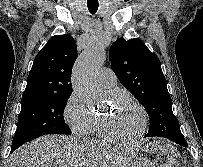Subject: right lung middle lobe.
Segmentation results:
<instances>
[{
	"instance_id": "dd1d6c3e",
	"label": "right lung middle lobe",
	"mask_w": 203,
	"mask_h": 167,
	"mask_svg": "<svg viewBox=\"0 0 203 167\" xmlns=\"http://www.w3.org/2000/svg\"><path fill=\"white\" fill-rule=\"evenodd\" d=\"M70 95L48 96L21 101L18 127L11 151L46 134H71L63 113Z\"/></svg>"
}]
</instances>
